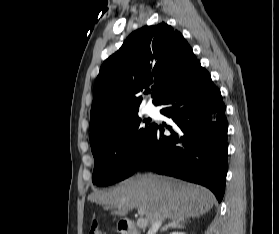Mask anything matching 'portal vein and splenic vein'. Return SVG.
Instances as JSON below:
<instances>
[{"label":"portal vein and splenic vein","mask_w":279,"mask_h":234,"mask_svg":"<svg viewBox=\"0 0 279 234\" xmlns=\"http://www.w3.org/2000/svg\"><path fill=\"white\" fill-rule=\"evenodd\" d=\"M138 213H139L140 215H144V211H143L142 209H138ZM147 224H148V221H147L145 218H143V217H141V218H139V219L137 220V225H138V227H140V228L146 227Z\"/></svg>","instance_id":"18ae733b"}]
</instances>
